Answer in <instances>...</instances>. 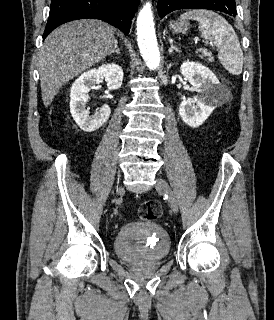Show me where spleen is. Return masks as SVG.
<instances>
[{"label": "spleen", "instance_id": "obj_1", "mask_svg": "<svg viewBox=\"0 0 274 320\" xmlns=\"http://www.w3.org/2000/svg\"><path fill=\"white\" fill-rule=\"evenodd\" d=\"M182 20L199 22V32L204 40L213 42L219 48L218 58L233 76H240L243 70V52L240 42L230 24L210 10H188L181 16Z\"/></svg>", "mask_w": 274, "mask_h": 320}]
</instances>
